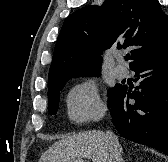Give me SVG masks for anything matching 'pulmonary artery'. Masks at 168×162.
I'll list each match as a JSON object with an SVG mask.
<instances>
[{"label":"pulmonary artery","mask_w":168,"mask_h":162,"mask_svg":"<svg viewBox=\"0 0 168 162\" xmlns=\"http://www.w3.org/2000/svg\"><path fill=\"white\" fill-rule=\"evenodd\" d=\"M114 73L118 78H125L128 75V70L124 66H116Z\"/></svg>","instance_id":"pulmonary-artery-1"}]
</instances>
